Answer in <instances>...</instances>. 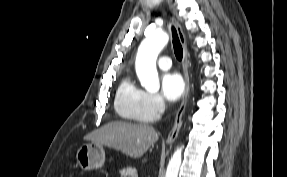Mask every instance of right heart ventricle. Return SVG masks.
<instances>
[{"label": "right heart ventricle", "instance_id": "1", "mask_svg": "<svg viewBox=\"0 0 287 177\" xmlns=\"http://www.w3.org/2000/svg\"><path fill=\"white\" fill-rule=\"evenodd\" d=\"M114 108L124 120L145 123L152 122V117L146 106V92L138 87L130 76H126L119 84Z\"/></svg>", "mask_w": 287, "mask_h": 177}]
</instances>
